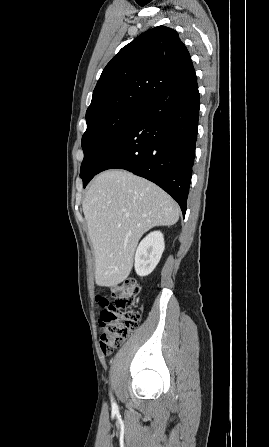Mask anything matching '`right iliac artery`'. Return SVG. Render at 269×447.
Listing matches in <instances>:
<instances>
[{"label":"right iliac artery","mask_w":269,"mask_h":447,"mask_svg":"<svg viewBox=\"0 0 269 447\" xmlns=\"http://www.w3.org/2000/svg\"><path fill=\"white\" fill-rule=\"evenodd\" d=\"M115 407H116V404L112 400V408H115Z\"/></svg>","instance_id":"82829eb1"}]
</instances>
